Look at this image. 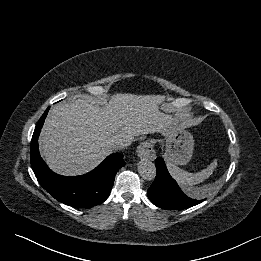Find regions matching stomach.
Masks as SVG:
<instances>
[{
    "label": "stomach",
    "instance_id": "stomach-1",
    "mask_svg": "<svg viewBox=\"0 0 261 261\" xmlns=\"http://www.w3.org/2000/svg\"><path fill=\"white\" fill-rule=\"evenodd\" d=\"M165 137V159L176 165L187 164L192 157L194 139L179 120L170 116L169 123L161 133Z\"/></svg>",
    "mask_w": 261,
    "mask_h": 261
}]
</instances>
